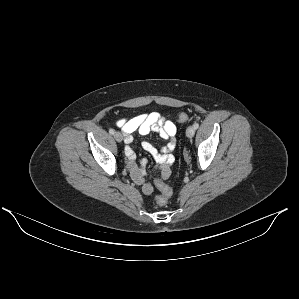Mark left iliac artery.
I'll use <instances>...</instances> for the list:
<instances>
[{"instance_id": "1", "label": "left iliac artery", "mask_w": 299, "mask_h": 299, "mask_svg": "<svg viewBox=\"0 0 299 299\" xmlns=\"http://www.w3.org/2000/svg\"><path fill=\"white\" fill-rule=\"evenodd\" d=\"M193 126L195 129H197L199 127V124L197 122H195Z\"/></svg>"}]
</instances>
